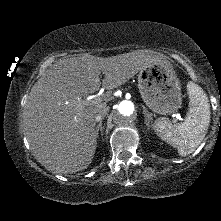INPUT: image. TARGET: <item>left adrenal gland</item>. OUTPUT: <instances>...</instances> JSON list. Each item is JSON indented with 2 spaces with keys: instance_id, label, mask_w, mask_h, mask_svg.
I'll return each mask as SVG.
<instances>
[{
  "instance_id": "a2214340",
  "label": "left adrenal gland",
  "mask_w": 221,
  "mask_h": 221,
  "mask_svg": "<svg viewBox=\"0 0 221 221\" xmlns=\"http://www.w3.org/2000/svg\"><path fill=\"white\" fill-rule=\"evenodd\" d=\"M144 118H145V124L147 126V129L150 128V124L152 125V114L144 108L143 110Z\"/></svg>"
}]
</instances>
